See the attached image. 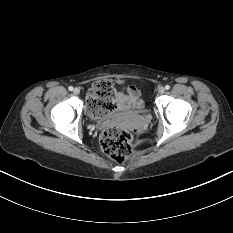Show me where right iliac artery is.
<instances>
[{"instance_id":"obj_1","label":"right iliac artery","mask_w":233,"mask_h":233,"mask_svg":"<svg viewBox=\"0 0 233 233\" xmlns=\"http://www.w3.org/2000/svg\"><path fill=\"white\" fill-rule=\"evenodd\" d=\"M68 89H69V91H72V90H73V87H72V86H69Z\"/></svg>"}]
</instances>
